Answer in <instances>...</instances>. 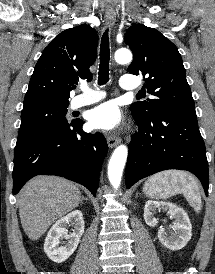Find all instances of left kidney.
I'll return each instance as SVG.
<instances>
[{
    "label": "left kidney",
    "instance_id": "5707ae66",
    "mask_svg": "<svg viewBox=\"0 0 215 274\" xmlns=\"http://www.w3.org/2000/svg\"><path fill=\"white\" fill-rule=\"evenodd\" d=\"M168 211L171 218H175L171 232L165 228L158 229L159 241L168 249L176 251L185 247L191 239L192 225L187 213L175 204L168 202L148 201L144 207V220L150 227H155L158 223L155 214L158 210Z\"/></svg>",
    "mask_w": 215,
    "mask_h": 274
}]
</instances>
